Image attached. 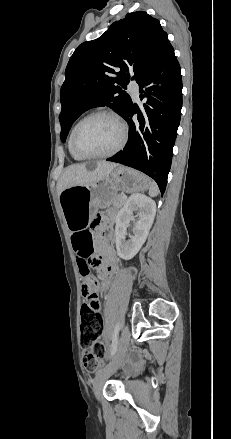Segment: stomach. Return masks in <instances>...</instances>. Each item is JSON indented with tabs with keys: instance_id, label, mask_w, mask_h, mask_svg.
<instances>
[{
	"instance_id": "stomach-1",
	"label": "stomach",
	"mask_w": 231,
	"mask_h": 439,
	"mask_svg": "<svg viewBox=\"0 0 231 439\" xmlns=\"http://www.w3.org/2000/svg\"><path fill=\"white\" fill-rule=\"evenodd\" d=\"M150 179L124 166H117L102 179L83 186H72L59 195L65 222L71 230L87 227L98 208L112 205V197L122 192L144 191Z\"/></svg>"
}]
</instances>
